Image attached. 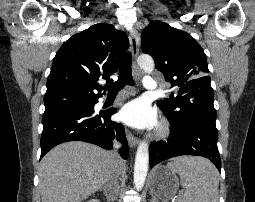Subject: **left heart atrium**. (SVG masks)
<instances>
[{
	"instance_id": "left-heart-atrium-1",
	"label": "left heart atrium",
	"mask_w": 255,
	"mask_h": 202,
	"mask_svg": "<svg viewBox=\"0 0 255 202\" xmlns=\"http://www.w3.org/2000/svg\"><path fill=\"white\" fill-rule=\"evenodd\" d=\"M119 116L124 123L138 129H151L157 124L156 112L142 99L124 105Z\"/></svg>"
}]
</instances>
